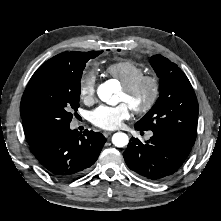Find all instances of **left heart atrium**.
<instances>
[{
	"label": "left heart atrium",
	"instance_id": "left-heart-atrium-1",
	"mask_svg": "<svg viewBox=\"0 0 221 221\" xmlns=\"http://www.w3.org/2000/svg\"><path fill=\"white\" fill-rule=\"evenodd\" d=\"M131 109L127 102H122L116 106L101 105L92 111L90 119L99 128L115 129L130 117Z\"/></svg>",
	"mask_w": 221,
	"mask_h": 221
}]
</instances>
